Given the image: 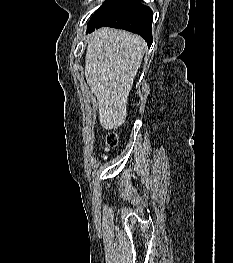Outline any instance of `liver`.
<instances>
[{
  "label": "liver",
  "mask_w": 233,
  "mask_h": 263,
  "mask_svg": "<svg viewBox=\"0 0 233 263\" xmlns=\"http://www.w3.org/2000/svg\"><path fill=\"white\" fill-rule=\"evenodd\" d=\"M146 42L138 35L103 27L93 32L85 56V78L97 97L99 121L111 130L127 116V102Z\"/></svg>",
  "instance_id": "obj_1"
}]
</instances>
